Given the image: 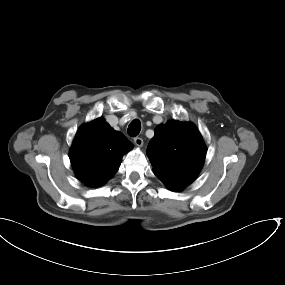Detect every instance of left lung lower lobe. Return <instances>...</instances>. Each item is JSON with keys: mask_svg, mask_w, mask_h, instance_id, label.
<instances>
[{"mask_svg": "<svg viewBox=\"0 0 285 285\" xmlns=\"http://www.w3.org/2000/svg\"><path fill=\"white\" fill-rule=\"evenodd\" d=\"M170 190L178 191L183 189L184 187L187 186V184L184 183H176V182H166L164 183Z\"/></svg>", "mask_w": 285, "mask_h": 285, "instance_id": "1", "label": "left lung lower lobe"}]
</instances>
